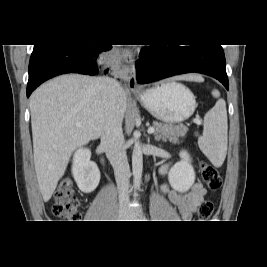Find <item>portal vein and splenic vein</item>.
Segmentation results:
<instances>
[{"instance_id":"1","label":"portal vein and splenic vein","mask_w":267,"mask_h":267,"mask_svg":"<svg viewBox=\"0 0 267 267\" xmlns=\"http://www.w3.org/2000/svg\"><path fill=\"white\" fill-rule=\"evenodd\" d=\"M194 122H197V121L194 120ZM154 131H155V129H154L153 127H149V128H148V133H149V134L154 133Z\"/></svg>"}]
</instances>
